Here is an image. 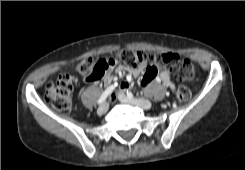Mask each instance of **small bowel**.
<instances>
[{
  "label": "small bowel",
  "mask_w": 245,
  "mask_h": 170,
  "mask_svg": "<svg viewBox=\"0 0 245 170\" xmlns=\"http://www.w3.org/2000/svg\"><path fill=\"white\" fill-rule=\"evenodd\" d=\"M125 73H126V70L124 68H117L115 70V74L120 77L125 75ZM139 74H140V71L138 70L131 72L127 80L121 83V87L124 89L129 88L131 86V79H130L131 75L138 76ZM114 79H115V76L112 71L107 72L103 78L104 83L106 85L111 84L114 81ZM151 80H152V73L147 70L143 72V76L141 79V85L147 86ZM159 81L162 83L163 87L166 88L171 93L174 94L176 92V86L174 82L172 81V72L169 67H165L161 70L160 75H159Z\"/></svg>",
  "instance_id": "small-bowel-1"
}]
</instances>
